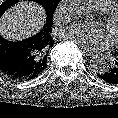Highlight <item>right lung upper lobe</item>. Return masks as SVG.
Listing matches in <instances>:
<instances>
[{
  "label": "right lung upper lobe",
  "instance_id": "right-lung-upper-lobe-1",
  "mask_svg": "<svg viewBox=\"0 0 118 118\" xmlns=\"http://www.w3.org/2000/svg\"><path fill=\"white\" fill-rule=\"evenodd\" d=\"M52 27V20H47L43 29L33 36L32 41L35 45V66L37 72L41 73L47 67V55L49 49L54 43L50 33Z\"/></svg>",
  "mask_w": 118,
  "mask_h": 118
}]
</instances>
